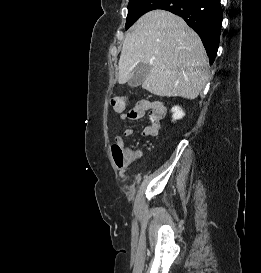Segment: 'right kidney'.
I'll return each instance as SVG.
<instances>
[{
  "label": "right kidney",
  "mask_w": 261,
  "mask_h": 273,
  "mask_svg": "<svg viewBox=\"0 0 261 273\" xmlns=\"http://www.w3.org/2000/svg\"><path fill=\"white\" fill-rule=\"evenodd\" d=\"M171 111L173 113V115H172L173 120H178V119H181L185 116V113L183 112V110L179 106L172 107Z\"/></svg>",
  "instance_id": "1"
}]
</instances>
